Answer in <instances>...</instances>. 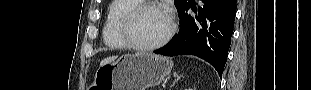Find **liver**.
I'll return each instance as SVG.
<instances>
[{
  "mask_svg": "<svg viewBox=\"0 0 311 90\" xmlns=\"http://www.w3.org/2000/svg\"><path fill=\"white\" fill-rule=\"evenodd\" d=\"M115 59H117V56L107 57V58L103 59V60L100 62V66H103V65H105V64H109V63L113 62Z\"/></svg>",
  "mask_w": 311,
  "mask_h": 90,
  "instance_id": "1",
  "label": "liver"
}]
</instances>
